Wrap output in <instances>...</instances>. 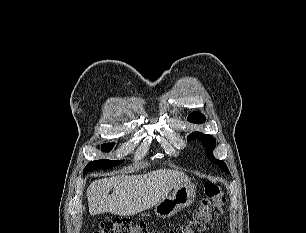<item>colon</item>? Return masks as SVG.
<instances>
[{"mask_svg":"<svg viewBox=\"0 0 306 233\" xmlns=\"http://www.w3.org/2000/svg\"><path fill=\"white\" fill-rule=\"evenodd\" d=\"M205 197L191 218L172 227L168 233H202L210 229L222 215L225 197L218 184L206 181L203 185ZM93 233H161L150 230L145 222L128 219L104 221Z\"/></svg>","mask_w":306,"mask_h":233,"instance_id":"5ec220e1","label":"colon"}]
</instances>
